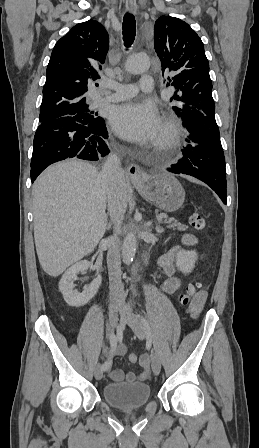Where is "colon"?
<instances>
[{
	"label": "colon",
	"mask_w": 259,
	"mask_h": 448,
	"mask_svg": "<svg viewBox=\"0 0 259 448\" xmlns=\"http://www.w3.org/2000/svg\"><path fill=\"white\" fill-rule=\"evenodd\" d=\"M190 223L194 228L199 230L203 229L206 225L204 218L198 213H194L191 215ZM201 286V283L188 285L185 292L180 296V303L183 306H190L193 300L201 292ZM129 361L132 363H136L138 361V356L134 353L130 354Z\"/></svg>",
	"instance_id": "colon-1"
}]
</instances>
